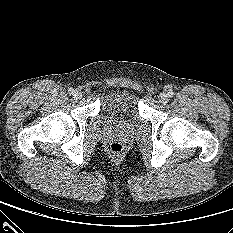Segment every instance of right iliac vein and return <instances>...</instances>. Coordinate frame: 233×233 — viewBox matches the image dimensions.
I'll return each mask as SVG.
<instances>
[{
	"mask_svg": "<svg viewBox=\"0 0 233 233\" xmlns=\"http://www.w3.org/2000/svg\"><path fill=\"white\" fill-rule=\"evenodd\" d=\"M73 96H74V98H76V99H81V98H82V92H81L80 90H75V91L73 92Z\"/></svg>",
	"mask_w": 233,
	"mask_h": 233,
	"instance_id": "right-iliac-vein-1",
	"label": "right iliac vein"
}]
</instances>
